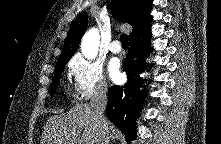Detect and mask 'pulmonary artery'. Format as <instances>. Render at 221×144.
I'll return each instance as SVG.
<instances>
[{
	"mask_svg": "<svg viewBox=\"0 0 221 144\" xmlns=\"http://www.w3.org/2000/svg\"><path fill=\"white\" fill-rule=\"evenodd\" d=\"M109 50H110L112 53H114V54L120 53V52H121V46H120L119 41H117V40L112 41V42L109 44Z\"/></svg>",
	"mask_w": 221,
	"mask_h": 144,
	"instance_id": "e3ab8cb5",
	"label": "pulmonary artery"
}]
</instances>
